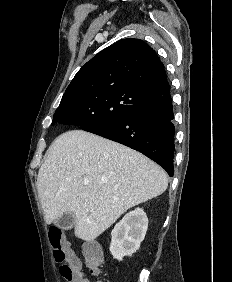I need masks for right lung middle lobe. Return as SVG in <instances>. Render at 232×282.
I'll list each match as a JSON object with an SVG mask.
<instances>
[{
    "label": "right lung middle lobe",
    "mask_w": 232,
    "mask_h": 282,
    "mask_svg": "<svg viewBox=\"0 0 232 282\" xmlns=\"http://www.w3.org/2000/svg\"><path fill=\"white\" fill-rule=\"evenodd\" d=\"M150 99L142 92L111 89L79 95L61 101L52 125H76L81 129L113 122L139 111Z\"/></svg>",
    "instance_id": "1"
}]
</instances>
